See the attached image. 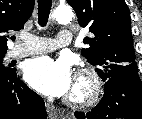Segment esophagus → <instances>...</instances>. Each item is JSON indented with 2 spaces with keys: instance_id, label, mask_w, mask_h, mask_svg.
<instances>
[{
  "instance_id": "34e87169",
  "label": "esophagus",
  "mask_w": 142,
  "mask_h": 119,
  "mask_svg": "<svg viewBox=\"0 0 142 119\" xmlns=\"http://www.w3.org/2000/svg\"><path fill=\"white\" fill-rule=\"evenodd\" d=\"M46 110H47L49 118H51V119H57L58 118L59 112L54 107V105L48 103L47 106H46Z\"/></svg>"
}]
</instances>
